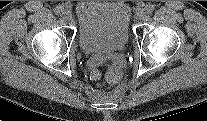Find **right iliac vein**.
Listing matches in <instances>:
<instances>
[{"label":"right iliac vein","instance_id":"63e3f726","mask_svg":"<svg viewBox=\"0 0 207 121\" xmlns=\"http://www.w3.org/2000/svg\"><path fill=\"white\" fill-rule=\"evenodd\" d=\"M63 18L66 20V21H70L72 19V13L69 11V10H65L63 12Z\"/></svg>","mask_w":207,"mask_h":121}]
</instances>
